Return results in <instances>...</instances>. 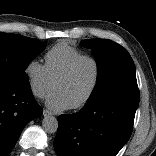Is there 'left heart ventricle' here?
<instances>
[{
	"instance_id": "obj_1",
	"label": "left heart ventricle",
	"mask_w": 156,
	"mask_h": 156,
	"mask_svg": "<svg viewBox=\"0 0 156 156\" xmlns=\"http://www.w3.org/2000/svg\"><path fill=\"white\" fill-rule=\"evenodd\" d=\"M95 77V67L91 61H82L70 78L59 82L55 90L63 94L72 105L85 97Z\"/></svg>"
}]
</instances>
